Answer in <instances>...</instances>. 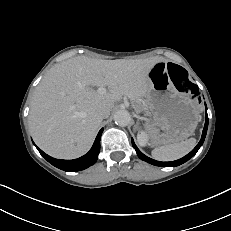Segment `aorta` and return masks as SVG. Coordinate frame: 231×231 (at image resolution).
I'll return each mask as SVG.
<instances>
[{"mask_svg":"<svg viewBox=\"0 0 231 231\" xmlns=\"http://www.w3.org/2000/svg\"><path fill=\"white\" fill-rule=\"evenodd\" d=\"M114 121L119 126H127L131 121V115L127 110H118L114 114Z\"/></svg>","mask_w":231,"mask_h":231,"instance_id":"obj_1","label":"aorta"}]
</instances>
